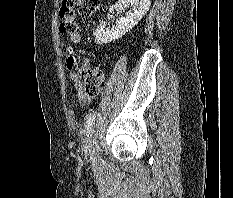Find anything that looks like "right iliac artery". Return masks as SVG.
Instances as JSON below:
<instances>
[{
    "mask_svg": "<svg viewBox=\"0 0 233 198\" xmlns=\"http://www.w3.org/2000/svg\"><path fill=\"white\" fill-rule=\"evenodd\" d=\"M94 119H95V113L92 114V115L89 117L88 121H87L86 133H87L88 137H89V134H88V133H89V131H90V128H91V126H92V124H93Z\"/></svg>",
    "mask_w": 233,
    "mask_h": 198,
    "instance_id": "1",
    "label": "right iliac artery"
}]
</instances>
